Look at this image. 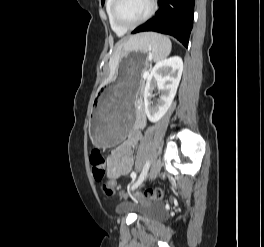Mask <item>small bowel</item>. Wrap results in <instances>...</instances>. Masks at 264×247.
Segmentation results:
<instances>
[{
	"label": "small bowel",
	"instance_id": "small-bowel-1",
	"mask_svg": "<svg viewBox=\"0 0 264 247\" xmlns=\"http://www.w3.org/2000/svg\"><path fill=\"white\" fill-rule=\"evenodd\" d=\"M145 124V117L140 114L127 138L108 156L107 177L110 180H118L131 171L134 164L132 150L141 140Z\"/></svg>",
	"mask_w": 264,
	"mask_h": 247
}]
</instances>
